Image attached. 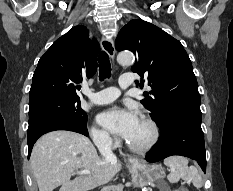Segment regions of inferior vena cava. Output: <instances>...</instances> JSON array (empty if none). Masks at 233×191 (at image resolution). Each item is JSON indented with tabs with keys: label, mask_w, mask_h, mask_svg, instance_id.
I'll return each instance as SVG.
<instances>
[{
	"label": "inferior vena cava",
	"mask_w": 233,
	"mask_h": 191,
	"mask_svg": "<svg viewBox=\"0 0 233 191\" xmlns=\"http://www.w3.org/2000/svg\"><path fill=\"white\" fill-rule=\"evenodd\" d=\"M99 150L106 161L115 162L117 161L116 155L112 152L111 143L104 141L100 146Z\"/></svg>",
	"instance_id": "obj_1"
}]
</instances>
